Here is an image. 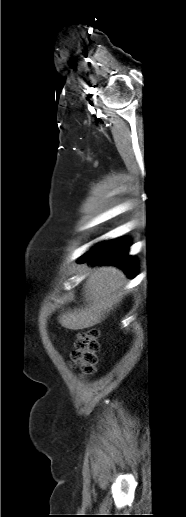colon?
<instances>
[{
    "instance_id": "1",
    "label": "colon",
    "mask_w": 186,
    "mask_h": 517,
    "mask_svg": "<svg viewBox=\"0 0 186 517\" xmlns=\"http://www.w3.org/2000/svg\"><path fill=\"white\" fill-rule=\"evenodd\" d=\"M98 335V330L89 329L79 333L76 337L71 360L85 375L92 374L96 369L99 350Z\"/></svg>"
}]
</instances>
